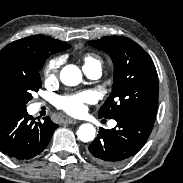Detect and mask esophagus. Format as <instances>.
<instances>
[{
    "mask_svg": "<svg viewBox=\"0 0 183 183\" xmlns=\"http://www.w3.org/2000/svg\"><path fill=\"white\" fill-rule=\"evenodd\" d=\"M64 122L67 124H76L78 121L76 119H73V118H66L64 120Z\"/></svg>",
    "mask_w": 183,
    "mask_h": 183,
    "instance_id": "esophagus-1",
    "label": "esophagus"
}]
</instances>
